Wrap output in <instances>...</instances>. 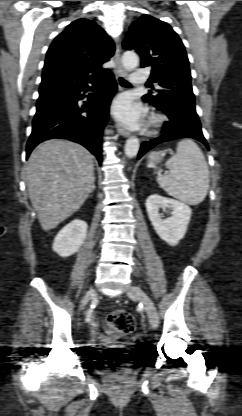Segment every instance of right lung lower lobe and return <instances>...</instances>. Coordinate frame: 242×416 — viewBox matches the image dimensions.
Masks as SVG:
<instances>
[{
  "mask_svg": "<svg viewBox=\"0 0 242 416\" xmlns=\"http://www.w3.org/2000/svg\"><path fill=\"white\" fill-rule=\"evenodd\" d=\"M117 89L113 74L90 83L40 94L26 157L39 143L66 138L86 147L102 162L101 136L109 116V106ZM90 93L83 105L78 101Z\"/></svg>",
  "mask_w": 242,
  "mask_h": 416,
  "instance_id": "98d812e1",
  "label": "right lung lower lobe"
}]
</instances>
